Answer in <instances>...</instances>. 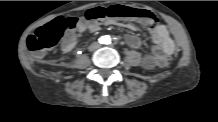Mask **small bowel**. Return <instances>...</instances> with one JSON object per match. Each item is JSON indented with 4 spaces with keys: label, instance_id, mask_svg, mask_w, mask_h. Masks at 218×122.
Returning a JSON list of instances; mask_svg holds the SVG:
<instances>
[{
    "label": "small bowel",
    "instance_id": "c3829d8e",
    "mask_svg": "<svg viewBox=\"0 0 218 122\" xmlns=\"http://www.w3.org/2000/svg\"><path fill=\"white\" fill-rule=\"evenodd\" d=\"M126 8L137 9L132 7ZM135 21L146 22L143 19L124 16L108 18L103 21V24H114L116 26L123 27L131 31H136L137 25L135 24ZM100 27L101 23L99 22H91L88 20V18L85 17L79 19L76 27L70 30L64 37L61 43V50L65 53L72 51L84 32H97ZM152 37L155 43L153 52L150 54H146L142 60L143 66L148 69L156 66L157 61L160 60L161 57H166L174 51V42L170 38L169 32L165 26H155L152 30ZM124 41L131 48H139L142 44L140 38L134 34H126L124 36Z\"/></svg>",
    "mask_w": 218,
    "mask_h": 122
}]
</instances>
